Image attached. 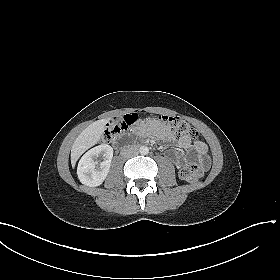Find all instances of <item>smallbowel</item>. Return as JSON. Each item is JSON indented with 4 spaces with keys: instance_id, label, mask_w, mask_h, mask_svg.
Returning a JSON list of instances; mask_svg holds the SVG:
<instances>
[{
    "instance_id": "obj_1",
    "label": "small bowel",
    "mask_w": 280,
    "mask_h": 280,
    "mask_svg": "<svg viewBox=\"0 0 280 280\" xmlns=\"http://www.w3.org/2000/svg\"><path fill=\"white\" fill-rule=\"evenodd\" d=\"M149 124L151 127L156 129L158 135L164 138H172V134L168 129L161 128L156 122H149ZM178 146L184 150L194 149L198 156L200 165L204 169L209 167L210 158L208 156V147L203 141L182 136L178 139ZM188 160L187 155L180 156L176 159L175 165L180 169L187 164Z\"/></svg>"
}]
</instances>
